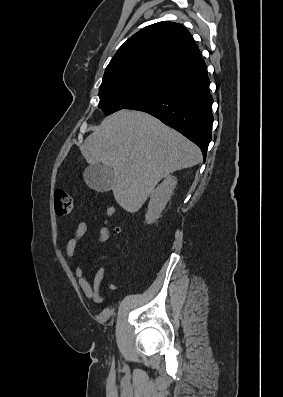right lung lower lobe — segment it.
Wrapping results in <instances>:
<instances>
[{
	"label": "right lung lower lobe",
	"mask_w": 283,
	"mask_h": 397,
	"mask_svg": "<svg viewBox=\"0 0 283 397\" xmlns=\"http://www.w3.org/2000/svg\"><path fill=\"white\" fill-rule=\"evenodd\" d=\"M209 84L204 67L167 82L125 109L149 113L176 129L199 146L205 160L214 120Z\"/></svg>",
	"instance_id": "obj_1"
}]
</instances>
